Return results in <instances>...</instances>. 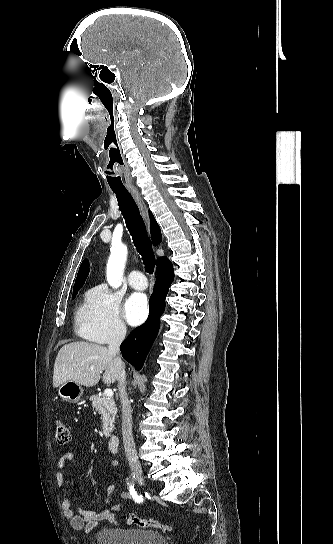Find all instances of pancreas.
I'll use <instances>...</instances> for the list:
<instances>
[{"label":"pancreas","mask_w":333,"mask_h":544,"mask_svg":"<svg viewBox=\"0 0 333 544\" xmlns=\"http://www.w3.org/2000/svg\"><path fill=\"white\" fill-rule=\"evenodd\" d=\"M90 400L92 401V406L95 410L101 414L103 434L107 437L110 436V433L113 431V424L117 414L114 400L105 395L102 397L93 395L90 397Z\"/></svg>","instance_id":"1"}]
</instances>
